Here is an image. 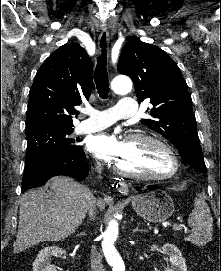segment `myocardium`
<instances>
[{"mask_svg":"<svg viewBox=\"0 0 221 271\" xmlns=\"http://www.w3.org/2000/svg\"><path fill=\"white\" fill-rule=\"evenodd\" d=\"M163 140H168L167 138L152 132L147 129L141 133H129L126 137V142H138V150H161L159 153L164 156L158 157L155 153L148 154L147 156L152 157L155 161H158L159 164H165L166 167L170 169L162 173H137L136 170H123V165L117 160V158H110L109 168L111 171H115L116 175H123L125 179H134V178H154V183H161V178H172L178 174L179 165L176 164V156L174 155V150H168V142H163ZM173 161V162H172Z\"/></svg>","mask_w":221,"mask_h":271,"instance_id":"f54148a6","label":"myocardium"}]
</instances>
